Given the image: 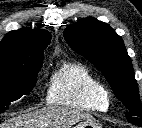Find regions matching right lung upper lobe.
Instances as JSON below:
<instances>
[{
    "mask_svg": "<svg viewBox=\"0 0 142 128\" xmlns=\"http://www.w3.org/2000/svg\"><path fill=\"white\" fill-rule=\"evenodd\" d=\"M51 35L40 29L22 28L9 32L0 42V77L15 76L20 70L43 60Z\"/></svg>",
    "mask_w": 142,
    "mask_h": 128,
    "instance_id": "1",
    "label": "right lung upper lobe"
}]
</instances>
